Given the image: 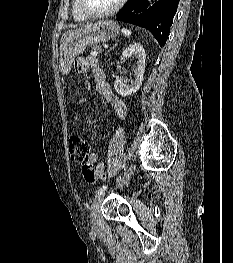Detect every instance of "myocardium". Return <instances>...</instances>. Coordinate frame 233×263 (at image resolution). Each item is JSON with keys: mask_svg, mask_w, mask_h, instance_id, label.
Returning a JSON list of instances; mask_svg holds the SVG:
<instances>
[{"mask_svg": "<svg viewBox=\"0 0 233 263\" xmlns=\"http://www.w3.org/2000/svg\"><path fill=\"white\" fill-rule=\"evenodd\" d=\"M126 1L127 0H118V2L115 4L114 7H112L111 9H109L107 11L100 12V13H93V12L88 11L84 6L83 0H78V6H79L81 13L86 18L99 19V18H105V17H109V16L114 15L124 6Z\"/></svg>", "mask_w": 233, "mask_h": 263, "instance_id": "f54148a6", "label": "myocardium"}]
</instances>
